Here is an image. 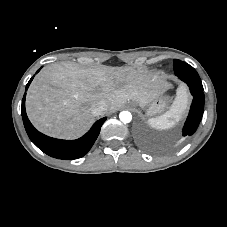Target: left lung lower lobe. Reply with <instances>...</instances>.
<instances>
[{"label": "left lung lower lobe", "mask_w": 227, "mask_h": 227, "mask_svg": "<svg viewBox=\"0 0 227 227\" xmlns=\"http://www.w3.org/2000/svg\"><path fill=\"white\" fill-rule=\"evenodd\" d=\"M178 77L180 80H182L188 85L190 92L193 96L191 109L188 118L185 122V125L183 127V136H190L193 135L197 130L203 115L204 110L203 86L199 75L198 76L180 75Z\"/></svg>", "instance_id": "obj_1"}]
</instances>
